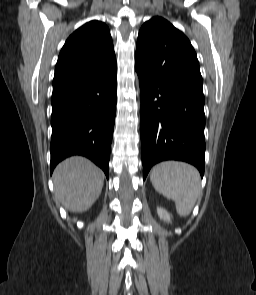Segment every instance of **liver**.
Listing matches in <instances>:
<instances>
[{"label":"liver","mask_w":256,"mask_h":295,"mask_svg":"<svg viewBox=\"0 0 256 295\" xmlns=\"http://www.w3.org/2000/svg\"><path fill=\"white\" fill-rule=\"evenodd\" d=\"M54 195L71 212H84L98 199L104 173L90 160L70 157L57 165L53 173Z\"/></svg>","instance_id":"obj_1"}]
</instances>
